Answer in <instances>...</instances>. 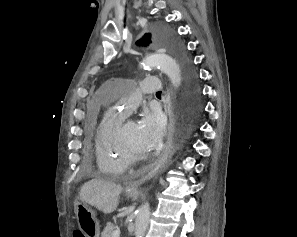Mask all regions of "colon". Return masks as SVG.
<instances>
[{
  "label": "colon",
  "instance_id": "colon-1",
  "mask_svg": "<svg viewBox=\"0 0 297 237\" xmlns=\"http://www.w3.org/2000/svg\"><path fill=\"white\" fill-rule=\"evenodd\" d=\"M73 237H85L81 232H75Z\"/></svg>",
  "mask_w": 297,
  "mask_h": 237
}]
</instances>
